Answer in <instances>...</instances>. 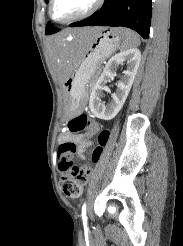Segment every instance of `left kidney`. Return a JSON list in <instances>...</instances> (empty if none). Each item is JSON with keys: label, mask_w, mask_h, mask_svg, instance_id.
<instances>
[{"label": "left kidney", "mask_w": 183, "mask_h": 246, "mask_svg": "<svg viewBox=\"0 0 183 246\" xmlns=\"http://www.w3.org/2000/svg\"><path fill=\"white\" fill-rule=\"evenodd\" d=\"M140 61L141 52L136 48L121 51L109 59L90 95L89 107L97 118L111 120L118 114L129 94ZM124 62L127 64V69L124 71L121 81L116 84L117 90L111 95L112 101L105 105L101 100L105 83L107 79L115 76L116 69Z\"/></svg>", "instance_id": "5707ae66"}]
</instances>
